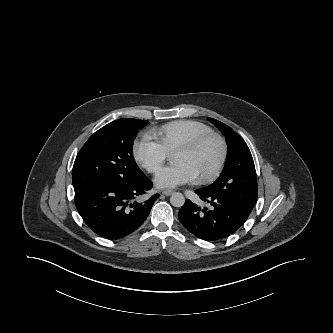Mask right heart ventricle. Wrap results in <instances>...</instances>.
Masks as SVG:
<instances>
[{
	"mask_svg": "<svg viewBox=\"0 0 333 333\" xmlns=\"http://www.w3.org/2000/svg\"><path fill=\"white\" fill-rule=\"evenodd\" d=\"M210 131L212 128L202 121L179 119L151 129L148 135L155 138L168 153H172L181 144Z\"/></svg>",
	"mask_w": 333,
	"mask_h": 333,
	"instance_id": "e07e8e85",
	"label": "right heart ventricle"
}]
</instances>
